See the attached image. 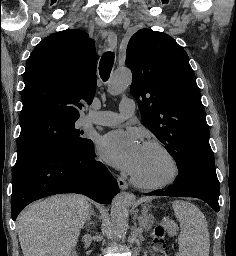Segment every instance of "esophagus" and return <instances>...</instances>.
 <instances>
[{"instance_id":"1","label":"esophagus","mask_w":236,"mask_h":256,"mask_svg":"<svg viewBox=\"0 0 236 256\" xmlns=\"http://www.w3.org/2000/svg\"><path fill=\"white\" fill-rule=\"evenodd\" d=\"M108 45L111 49H115L117 46V35L116 33H110L108 35ZM118 185L121 190H127L128 185L124 178H118Z\"/></svg>"}]
</instances>
